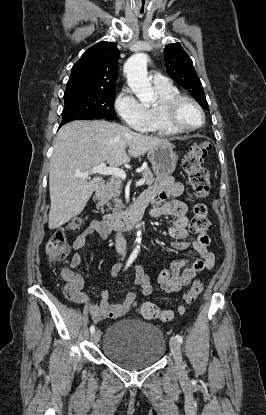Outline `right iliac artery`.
Masks as SVG:
<instances>
[{"instance_id":"1","label":"right iliac artery","mask_w":266,"mask_h":415,"mask_svg":"<svg viewBox=\"0 0 266 415\" xmlns=\"http://www.w3.org/2000/svg\"><path fill=\"white\" fill-rule=\"evenodd\" d=\"M136 256H137V252H135V251L132 252V254L130 255V257H129L128 261H127L126 268L129 267L133 263V261L135 260ZM94 331H95V327H94V325H92L90 327V332L93 333Z\"/></svg>"}]
</instances>
